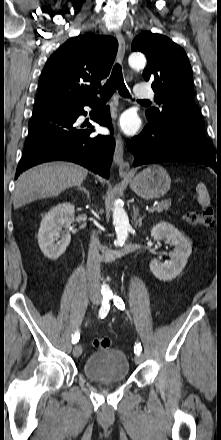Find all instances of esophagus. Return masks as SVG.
<instances>
[{
    "mask_svg": "<svg viewBox=\"0 0 221 440\" xmlns=\"http://www.w3.org/2000/svg\"><path fill=\"white\" fill-rule=\"evenodd\" d=\"M116 38L119 44L118 48V61L122 62L124 55H125V39L120 31L116 33ZM123 152H124V144L122 137L120 133L116 134V145H115V151L113 155V161L118 166L119 169V175L121 177H125L128 175L130 171V164L129 162L125 161L123 158Z\"/></svg>",
    "mask_w": 221,
    "mask_h": 440,
    "instance_id": "obj_1",
    "label": "esophagus"
}]
</instances>
